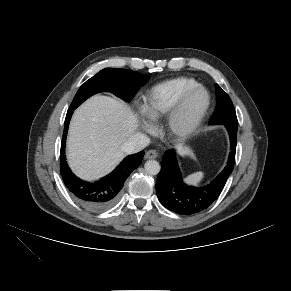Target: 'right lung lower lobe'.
<instances>
[{
    "mask_svg": "<svg viewBox=\"0 0 291 291\" xmlns=\"http://www.w3.org/2000/svg\"><path fill=\"white\" fill-rule=\"evenodd\" d=\"M73 111L74 109H69L65 118L61 142L60 173L67 189L83 207L90 211L105 210L117 201L124 181L141 164L144 152L126 157L112 173L99 181L86 182L79 179L69 169L64 155L68 125Z\"/></svg>",
    "mask_w": 291,
    "mask_h": 291,
    "instance_id": "right-lung-lower-lobe-1",
    "label": "right lung lower lobe"
}]
</instances>
